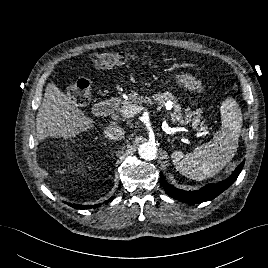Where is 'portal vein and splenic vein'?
I'll list each match as a JSON object with an SVG mask.
<instances>
[{
  "instance_id": "portal-vein-and-splenic-vein-1",
  "label": "portal vein and splenic vein",
  "mask_w": 268,
  "mask_h": 268,
  "mask_svg": "<svg viewBox=\"0 0 268 268\" xmlns=\"http://www.w3.org/2000/svg\"><path fill=\"white\" fill-rule=\"evenodd\" d=\"M145 110L144 107L142 106H131V107H127L121 110V114L123 117L125 118H130V117H134L136 114H138L139 112Z\"/></svg>"
}]
</instances>
